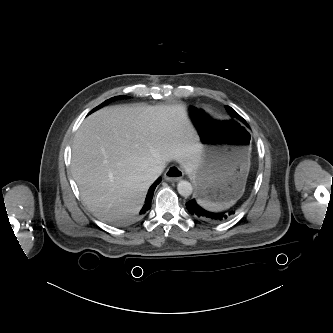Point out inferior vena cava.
Listing matches in <instances>:
<instances>
[{"instance_id": "inferior-vena-cava-1", "label": "inferior vena cava", "mask_w": 333, "mask_h": 333, "mask_svg": "<svg viewBox=\"0 0 333 333\" xmlns=\"http://www.w3.org/2000/svg\"><path fill=\"white\" fill-rule=\"evenodd\" d=\"M164 168H165V164H160V165H157L154 167H150L147 170L146 177L150 178L152 180H155L156 178H158L161 175Z\"/></svg>"}]
</instances>
